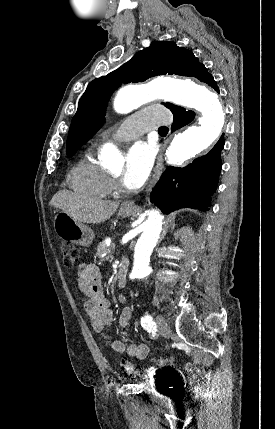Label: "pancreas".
<instances>
[{
	"label": "pancreas",
	"mask_w": 275,
	"mask_h": 429,
	"mask_svg": "<svg viewBox=\"0 0 275 429\" xmlns=\"http://www.w3.org/2000/svg\"><path fill=\"white\" fill-rule=\"evenodd\" d=\"M113 248V244L110 246H107L105 241H102L97 246V252L96 255L98 257H102L103 254L108 253Z\"/></svg>",
	"instance_id": "1"
}]
</instances>
